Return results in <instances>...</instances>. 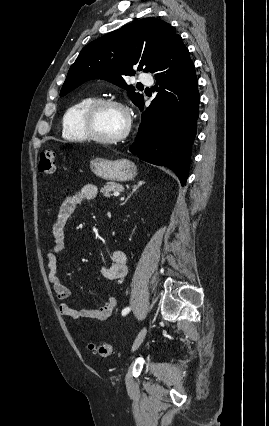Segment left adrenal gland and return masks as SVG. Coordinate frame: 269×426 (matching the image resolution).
Wrapping results in <instances>:
<instances>
[{"label": "left adrenal gland", "instance_id": "obj_1", "mask_svg": "<svg viewBox=\"0 0 269 426\" xmlns=\"http://www.w3.org/2000/svg\"><path fill=\"white\" fill-rule=\"evenodd\" d=\"M144 183H145L144 181H139V182L137 183V185H134V186H133V190H132V192H131L128 196H127V198L125 199V201H124L121 205H124V204L128 201V199L132 196V194H133L134 192H136V191H137V189H138L140 186H142Z\"/></svg>", "mask_w": 269, "mask_h": 426}]
</instances>
